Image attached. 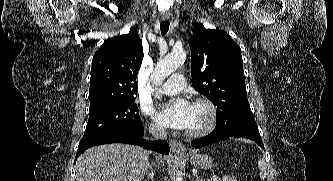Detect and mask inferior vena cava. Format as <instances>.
Wrapping results in <instances>:
<instances>
[{
	"mask_svg": "<svg viewBox=\"0 0 333 181\" xmlns=\"http://www.w3.org/2000/svg\"><path fill=\"white\" fill-rule=\"evenodd\" d=\"M150 133L152 135V138L154 140L157 139H166L167 138V132L166 129L160 126H152L150 127ZM150 167L146 168V171H148Z\"/></svg>",
	"mask_w": 333,
	"mask_h": 181,
	"instance_id": "inferior-vena-cava-1",
	"label": "inferior vena cava"
}]
</instances>
